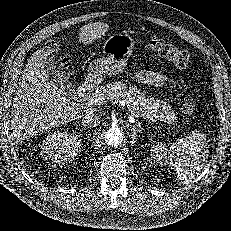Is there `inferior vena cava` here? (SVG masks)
<instances>
[{"label": "inferior vena cava", "mask_w": 231, "mask_h": 231, "mask_svg": "<svg viewBox=\"0 0 231 231\" xmlns=\"http://www.w3.org/2000/svg\"><path fill=\"white\" fill-rule=\"evenodd\" d=\"M82 126L84 127H96L100 124V118L97 115L88 113L82 117Z\"/></svg>", "instance_id": "602c4592"}]
</instances>
